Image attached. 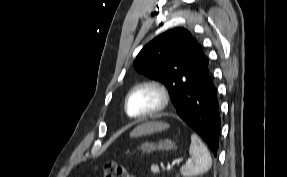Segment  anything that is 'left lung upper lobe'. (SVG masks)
<instances>
[{
    "mask_svg": "<svg viewBox=\"0 0 287 177\" xmlns=\"http://www.w3.org/2000/svg\"><path fill=\"white\" fill-rule=\"evenodd\" d=\"M208 66L202 46L184 28H174L146 44L134 61L135 69L166 85L175 107Z\"/></svg>",
    "mask_w": 287,
    "mask_h": 177,
    "instance_id": "left-lung-upper-lobe-1",
    "label": "left lung upper lobe"
}]
</instances>
